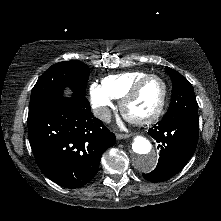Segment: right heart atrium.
<instances>
[{
  "mask_svg": "<svg viewBox=\"0 0 221 221\" xmlns=\"http://www.w3.org/2000/svg\"><path fill=\"white\" fill-rule=\"evenodd\" d=\"M90 102L95 115L102 121H108L113 107L112 97L102 85L92 83L89 87Z\"/></svg>",
  "mask_w": 221,
  "mask_h": 221,
  "instance_id": "1",
  "label": "right heart atrium"
}]
</instances>
